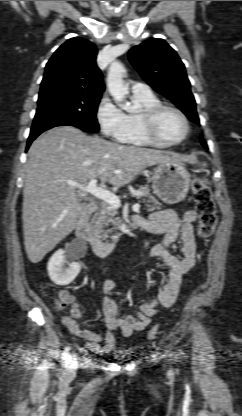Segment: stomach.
<instances>
[{
  "label": "stomach",
  "instance_id": "0dacf381",
  "mask_svg": "<svg viewBox=\"0 0 242 416\" xmlns=\"http://www.w3.org/2000/svg\"><path fill=\"white\" fill-rule=\"evenodd\" d=\"M190 187V174L177 162L156 164L152 175V188L163 202L176 204L185 199Z\"/></svg>",
  "mask_w": 242,
  "mask_h": 416
}]
</instances>
